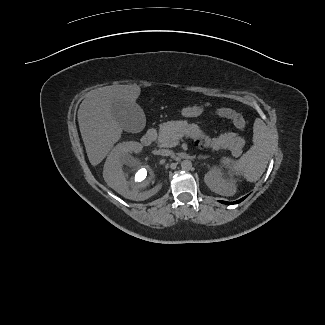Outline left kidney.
Listing matches in <instances>:
<instances>
[{
  "instance_id": "left-kidney-1",
  "label": "left kidney",
  "mask_w": 325,
  "mask_h": 325,
  "mask_svg": "<svg viewBox=\"0 0 325 325\" xmlns=\"http://www.w3.org/2000/svg\"><path fill=\"white\" fill-rule=\"evenodd\" d=\"M204 181L211 191L219 195L231 196L236 192L233 180L223 179L221 172L216 170V168H212L205 174Z\"/></svg>"
}]
</instances>
